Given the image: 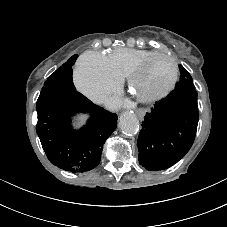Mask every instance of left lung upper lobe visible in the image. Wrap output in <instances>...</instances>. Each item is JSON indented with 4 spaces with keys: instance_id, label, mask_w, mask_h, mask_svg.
Masks as SVG:
<instances>
[{
    "instance_id": "5c2ea615",
    "label": "left lung upper lobe",
    "mask_w": 227,
    "mask_h": 227,
    "mask_svg": "<svg viewBox=\"0 0 227 227\" xmlns=\"http://www.w3.org/2000/svg\"><path fill=\"white\" fill-rule=\"evenodd\" d=\"M181 71L180 81L176 84V89H190L195 88L192 77L189 72L183 67L179 66Z\"/></svg>"
}]
</instances>
